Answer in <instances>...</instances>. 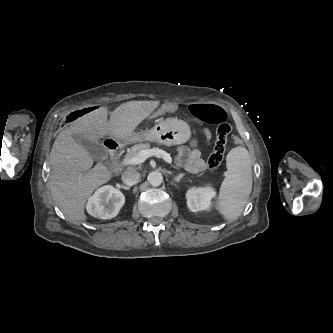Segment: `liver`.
<instances>
[{
	"instance_id": "1",
	"label": "liver",
	"mask_w": 333,
	"mask_h": 333,
	"mask_svg": "<svg viewBox=\"0 0 333 333\" xmlns=\"http://www.w3.org/2000/svg\"><path fill=\"white\" fill-rule=\"evenodd\" d=\"M159 104V101L126 102L111 113L109 120L107 107H99L77 118L58 134L51 150L49 188L68 221L76 225L85 221L86 200L112 177L102 163L91 169L93 157L75 141L74 135H87L97 142L106 135L128 138Z\"/></svg>"
}]
</instances>
